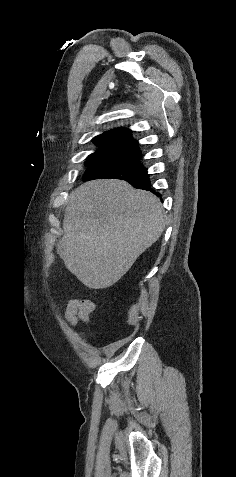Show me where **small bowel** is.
<instances>
[{
    "instance_id": "1",
    "label": "small bowel",
    "mask_w": 236,
    "mask_h": 477,
    "mask_svg": "<svg viewBox=\"0 0 236 477\" xmlns=\"http://www.w3.org/2000/svg\"><path fill=\"white\" fill-rule=\"evenodd\" d=\"M94 303L88 299H70L64 311L67 323L72 327H79L87 323L94 312Z\"/></svg>"
}]
</instances>
